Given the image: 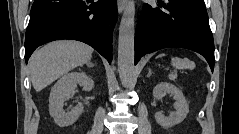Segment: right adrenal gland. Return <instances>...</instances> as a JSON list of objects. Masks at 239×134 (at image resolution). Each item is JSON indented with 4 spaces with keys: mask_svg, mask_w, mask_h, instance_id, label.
Segmentation results:
<instances>
[{
    "mask_svg": "<svg viewBox=\"0 0 239 134\" xmlns=\"http://www.w3.org/2000/svg\"><path fill=\"white\" fill-rule=\"evenodd\" d=\"M86 65H87L88 67H94V64H93V63H91L90 61H89V62H87V63H86Z\"/></svg>",
    "mask_w": 239,
    "mask_h": 134,
    "instance_id": "obj_1",
    "label": "right adrenal gland"
}]
</instances>
